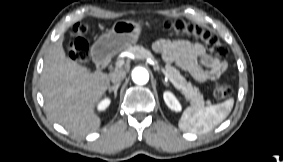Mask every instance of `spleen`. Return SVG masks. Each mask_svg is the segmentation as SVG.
Here are the masks:
<instances>
[{
	"label": "spleen",
	"instance_id": "obj_1",
	"mask_svg": "<svg viewBox=\"0 0 283 162\" xmlns=\"http://www.w3.org/2000/svg\"><path fill=\"white\" fill-rule=\"evenodd\" d=\"M234 99L230 98L221 104L199 107H187L179 120V128L191 133H207L220 124L230 114Z\"/></svg>",
	"mask_w": 283,
	"mask_h": 162
}]
</instances>
